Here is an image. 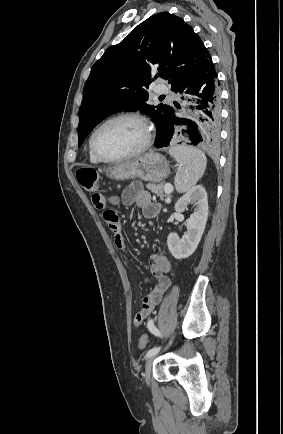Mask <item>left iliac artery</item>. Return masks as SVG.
<instances>
[{
  "mask_svg": "<svg viewBox=\"0 0 283 434\" xmlns=\"http://www.w3.org/2000/svg\"><path fill=\"white\" fill-rule=\"evenodd\" d=\"M148 328L156 336H161L160 331L154 326L153 320H150L148 322ZM159 350H160V347H154V348L150 349L146 354V358H149V357L155 355L156 353H158Z\"/></svg>",
  "mask_w": 283,
  "mask_h": 434,
  "instance_id": "left-iliac-artery-1",
  "label": "left iliac artery"
}]
</instances>
